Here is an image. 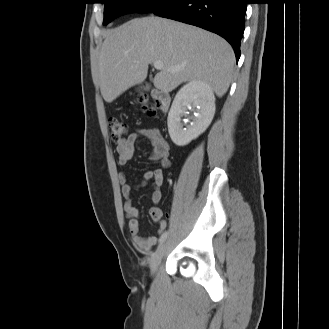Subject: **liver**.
Returning <instances> with one entry per match:
<instances>
[{"label":"liver","instance_id":"liver-1","mask_svg":"<svg viewBox=\"0 0 329 329\" xmlns=\"http://www.w3.org/2000/svg\"><path fill=\"white\" fill-rule=\"evenodd\" d=\"M155 61L164 65L154 78L157 89L170 92L198 80L222 97L231 83L235 55L227 41L198 27L154 16L132 19L106 32L99 61L104 100L111 103L142 83Z\"/></svg>","mask_w":329,"mask_h":329}]
</instances>
